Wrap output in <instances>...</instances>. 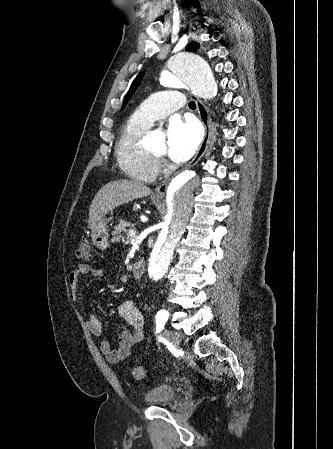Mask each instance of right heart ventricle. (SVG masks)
Wrapping results in <instances>:
<instances>
[{
	"label": "right heart ventricle",
	"instance_id": "obj_1",
	"mask_svg": "<svg viewBox=\"0 0 333 449\" xmlns=\"http://www.w3.org/2000/svg\"><path fill=\"white\" fill-rule=\"evenodd\" d=\"M149 127L132 117L119 133L115 153L121 169L132 179L149 183L160 172V162L143 146Z\"/></svg>",
	"mask_w": 333,
	"mask_h": 449
}]
</instances>
